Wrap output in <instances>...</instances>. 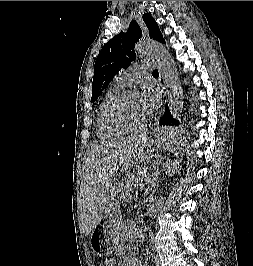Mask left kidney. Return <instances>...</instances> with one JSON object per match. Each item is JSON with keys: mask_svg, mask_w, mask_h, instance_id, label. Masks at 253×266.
I'll return each instance as SVG.
<instances>
[{"mask_svg": "<svg viewBox=\"0 0 253 266\" xmlns=\"http://www.w3.org/2000/svg\"><path fill=\"white\" fill-rule=\"evenodd\" d=\"M123 233L125 239L128 241H134L137 237L140 236V231L137 228L135 222L132 220H127L125 222Z\"/></svg>", "mask_w": 253, "mask_h": 266, "instance_id": "1", "label": "left kidney"}]
</instances>
